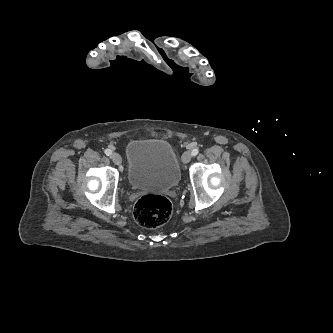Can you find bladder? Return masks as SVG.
I'll use <instances>...</instances> for the list:
<instances>
[{"instance_id":"obj_1","label":"bladder","mask_w":333,"mask_h":333,"mask_svg":"<svg viewBox=\"0 0 333 333\" xmlns=\"http://www.w3.org/2000/svg\"><path fill=\"white\" fill-rule=\"evenodd\" d=\"M129 184L138 190L166 192L181 179L179 160L165 140H135L126 150Z\"/></svg>"}]
</instances>
